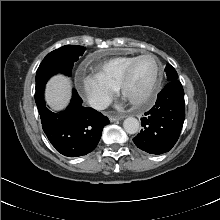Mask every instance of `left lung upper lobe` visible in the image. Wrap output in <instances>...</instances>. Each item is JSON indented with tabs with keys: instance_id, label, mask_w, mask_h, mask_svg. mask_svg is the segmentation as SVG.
Returning <instances> with one entry per match:
<instances>
[{
	"instance_id": "obj_1",
	"label": "left lung upper lobe",
	"mask_w": 220,
	"mask_h": 220,
	"mask_svg": "<svg viewBox=\"0 0 220 220\" xmlns=\"http://www.w3.org/2000/svg\"><path fill=\"white\" fill-rule=\"evenodd\" d=\"M165 71L168 81L176 80L178 78L176 70L170 64L166 65Z\"/></svg>"
}]
</instances>
